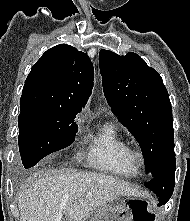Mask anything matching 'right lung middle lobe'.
Returning a JSON list of instances; mask_svg holds the SVG:
<instances>
[{
    "label": "right lung middle lobe",
    "mask_w": 190,
    "mask_h": 221,
    "mask_svg": "<svg viewBox=\"0 0 190 221\" xmlns=\"http://www.w3.org/2000/svg\"><path fill=\"white\" fill-rule=\"evenodd\" d=\"M77 113L35 109L18 117L19 151L25 169L36 165L50 153L71 145L78 126Z\"/></svg>",
    "instance_id": "obj_1"
}]
</instances>
